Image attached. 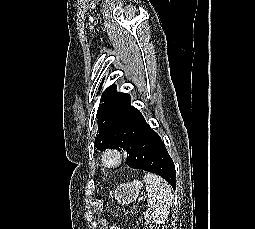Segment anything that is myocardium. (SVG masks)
Here are the masks:
<instances>
[{
  "label": "myocardium",
  "mask_w": 255,
  "mask_h": 229,
  "mask_svg": "<svg viewBox=\"0 0 255 229\" xmlns=\"http://www.w3.org/2000/svg\"><path fill=\"white\" fill-rule=\"evenodd\" d=\"M124 160L123 152L118 148H107L101 154V161L106 168L118 167Z\"/></svg>",
  "instance_id": "obj_1"
}]
</instances>
